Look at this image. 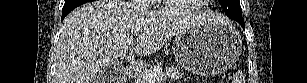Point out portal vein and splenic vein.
<instances>
[{
    "label": "portal vein and splenic vein",
    "instance_id": "18ae733b",
    "mask_svg": "<svg viewBox=\"0 0 307 83\" xmlns=\"http://www.w3.org/2000/svg\"><path fill=\"white\" fill-rule=\"evenodd\" d=\"M127 43H128V46L131 47L134 41L133 39H130L127 41ZM162 77H163L162 74H157L149 70L144 71V81H146L147 83H153L155 79H159V78L162 79Z\"/></svg>",
    "mask_w": 307,
    "mask_h": 83
}]
</instances>
